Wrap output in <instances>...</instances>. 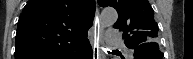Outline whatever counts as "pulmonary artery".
<instances>
[{
    "instance_id": "obj_1",
    "label": "pulmonary artery",
    "mask_w": 193,
    "mask_h": 59,
    "mask_svg": "<svg viewBox=\"0 0 193 59\" xmlns=\"http://www.w3.org/2000/svg\"><path fill=\"white\" fill-rule=\"evenodd\" d=\"M108 42H109V45L112 47V46H120L122 44V39L116 35V34H113L112 32H108Z\"/></svg>"
}]
</instances>
